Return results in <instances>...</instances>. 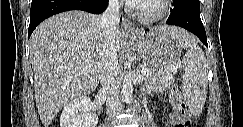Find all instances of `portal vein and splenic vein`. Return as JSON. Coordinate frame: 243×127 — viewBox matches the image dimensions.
Returning a JSON list of instances; mask_svg holds the SVG:
<instances>
[{
    "label": "portal vein and splenic vein",
    "mask_w": 243,
    "mask_h": 127,
    "mask_svg": "<svg viewBox=\"0 0 243 127\" xmlns=\"http://www.w3.org/2000/svg\"><path fill=\"white\" fill-rule=\"evenodd\" d=\"M175 69H177L176 67H173V68H171L170 70H167V71H165L167 74H170L172 71H174ZM84 72V71H83ZM147 70L143 67L142 68V70H141V74H143V75H145V74H147Z\"/></svg>",
    "instance_id": "obj_1"
}]
</instances>
